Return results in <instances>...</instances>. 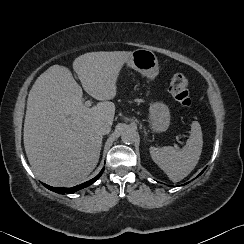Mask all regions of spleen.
<instances>
[{
	"instance_id": "1",
	"label": "spleen",
	"mask_w": 244,
	"mask_h": 244,
	"mask_svg": "<svg viewBox=\"0 0 244 244\" xmlns=\"http://www.w3.org/2000/svg\"><path fill=\"white\" fill-rule=\"evenodd\" d=\"M203 147L202 130L198 121L191 124L186 145L176 150L171 146L150 147L152 160L166 173L170 180L178 182L187 177L197 165Z\"/></svg>"
}]
</instances>
